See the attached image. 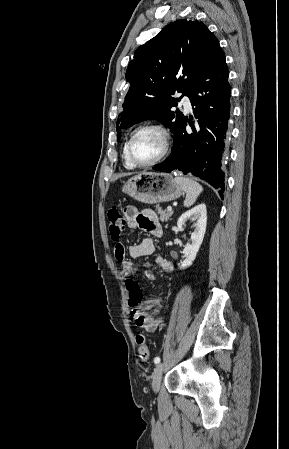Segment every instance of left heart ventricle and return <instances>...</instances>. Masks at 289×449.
<instances>
[{"mask_svg":"<svg viewBox=\"0 0 289 449\" xmlns=\"http://www.w3.org/2000/svg\"><path fill=\"white\" fill-rule=\"evenodd\" d=\"M161 147V138L156 132H142L133 142V157L141 163L149 162L159 155Z\"/></svg>","mask_w":289,"mask_h":449,"instance_id":"1","label":"left heart ventricle"}]
</instances>
